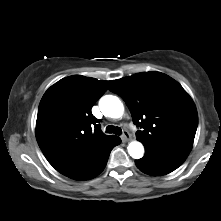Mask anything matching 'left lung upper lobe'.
<instances>
[{
    "label": "left lung upper lobe",
    "instance_id": "1",
    "mask_svg": "<svg viewBox=\"0 0 221 221\" xmlns=\"http://www.w3.org/2000/svg\"><path fill=\"white\" fill-rule=\"evenodd\" d=\"M123 98L145 148L192 147L198 125L195 104L183 87L160 72L117 79L109 89Z\"/></svg>",
    "mask_w": 221,
    "mask_h": 221
}]
</instances>
